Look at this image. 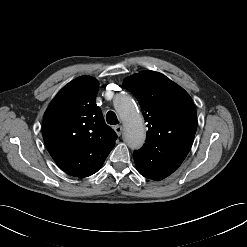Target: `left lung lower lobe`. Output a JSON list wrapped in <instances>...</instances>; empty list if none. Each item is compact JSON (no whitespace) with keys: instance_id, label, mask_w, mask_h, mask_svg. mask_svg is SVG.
<instances>
[{"instance_id":"obj_1","label":"left lung lower lobe","mask_w":247,"mask_h":247,"mask_svg":"<svg viewBox=\"0 0 247 247\" xmlns=\"http://www.w3.org/2000/svg\"><path fill=\"white\" fill-rule=\"evenodd\" d=\"M138 172L146 178L161 180L173 173L182 162L171 159H138L134 157Z\"/></svg>"}]
</instances>
